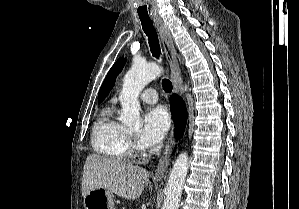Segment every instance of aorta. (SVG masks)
<instances>
[{"mask_svg": "<svg viewBox=\"0 0 299 209\" xmlns=\"http://www.w3.org/2000/svg\"><path fill=\"white\" fill-rule=\"evenodd\" d=\"M162 69L155 63L135 62L123 79L119 99L122 106L121 122L130 128H141L140 104L138 96L143 88L159 77ZM188 171V154L182 152L177 157L167 180L165 200L162 209H178Z\"/></svg>", "mask_w": 299, "mask_h": 209, "instance_id": "762f6f07", "label": "aorta"}]
</instances>
